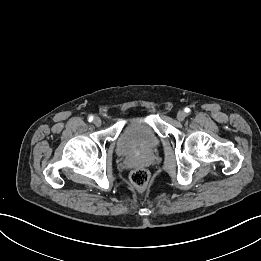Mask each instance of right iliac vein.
<instances>
[{
	"label": "right iliac vein",
	"instance_id": "1",
	"mask_svg": "<svg viewBox=\"0 0 261 261\" xmlns=\"http://www.w3.org/2000/svg\"><path fill=\"white\" fill-rule=\"evenodd\" d=\"M93 123H94L95 126L100 127L101 124H102V121L99 117H95L94 120H93Z\"/></svg>",
	"mask_w": 261,
	"mask_h": 261
}]
</instances>
